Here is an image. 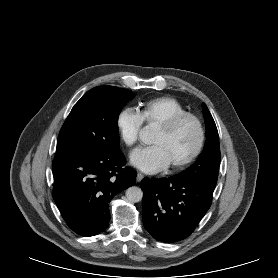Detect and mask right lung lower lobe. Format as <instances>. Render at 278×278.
<instances>
[{"label": "right lung lower lobe", "instance_id": "98d812e1", "mask_svg": "<svg viewBox=\"0 0 278 278\" xmlns=\"http://www.w3.org/2000/svg\"><path fill=\"white\" fill-rule=\"evenodd\" d=\"M124 164L120 149L53 160V198L70 229L88 237L108 227L109 202L135 182Z\"/></svg>", "mask_w": 278, "mask_h": 278}]
</instances>
